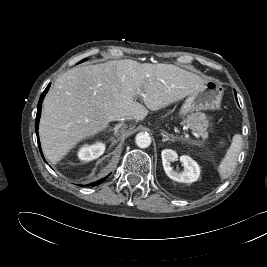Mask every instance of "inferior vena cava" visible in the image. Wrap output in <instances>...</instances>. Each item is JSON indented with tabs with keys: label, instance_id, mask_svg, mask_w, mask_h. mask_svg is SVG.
Instances as JSON below:
<instances>
[{
	"label": "inferior vena cava",
	"instance_id": "1",
	"mask_svg": "<svg viewBox=\"0 0 267 267\" xmlns=\"http://www.w3.org/2000/svg\"><path fill=\"white\" fill-rule=\"evenodd\" d=\"M125 119H132L131 117H127V118H125ZM115 120H124V118H117V119H115Z\"/></svg>",
	"mask_w": 267,
	"mask_h": 267
}]
</instances>
